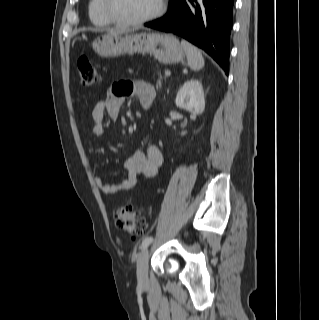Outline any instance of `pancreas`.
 Masks as SVG:
<instances>
[{
  "label": "pancreas",
  "mask_w": 319,
  "mask_h": 320,
  "mask_svg": "<svg viewBox=\"0 0 319 320\" xmlns=\"http://www.w3.org/2000/svg\"><path fill=\"white\" fill-rule=\"evenodd\" d=\"M157 74H158V83H160L163 77L160 71H158Z\"/></svg>",
  "instance_id": "cf45deb5"
}]
</instances>
